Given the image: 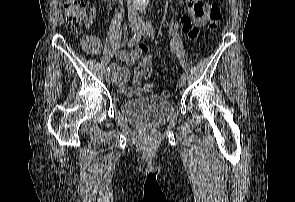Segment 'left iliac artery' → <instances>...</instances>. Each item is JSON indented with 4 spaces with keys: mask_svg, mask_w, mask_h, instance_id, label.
<instances>
[{
    "mask_svg": "<svg viewBox=\"0 0 295 202\" xmlns=\"http://www.w3.org/2000/svg\"><path fill=\"white\" fill-rule=\"evenodd\" d=\"M146 31H147V34H149V36L154 37V29H153V26H152V24L150 22H148L146 24ZM181 77L186 79V74L183 73Z\"/></svg>",
    "mask_w": 295,
    "mask_h": 202,
    "instance_id": "44dca946",
    "label": "left iliac artery"
}]
</instances>
